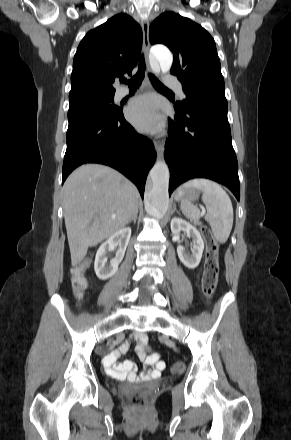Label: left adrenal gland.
I'll use <instances>...</instances> for the list:
<instances>
[{
    "mask_svg": "<svg viewBox=\"0 0 291 440\" xmlns=\"http://www.w3.org/2000/svg\"><path fill=\"white\" fill-rule=\"evenodd\" d=\"M174 211H177V209H176V205H174ZM178 212V211H177Z\"/></svg>",
    "mask_w": 291,
    "mask_h": 440,
    "instance_id": "1",
    "label": "left adrenal gland"
}]
</instances>
